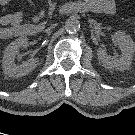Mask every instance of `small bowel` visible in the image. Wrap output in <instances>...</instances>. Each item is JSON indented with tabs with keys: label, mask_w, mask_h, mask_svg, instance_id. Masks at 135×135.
Wrapping results in <instances>:
<instances>
[{
	"label": "small bowel",
	"mask_w": 135,
	"mask_h": 135,
	"mask_svg": "<svg viewBox=\"0 0 135 135\" xmlns=\"http://www.w3.org/2000/svg\"><path fill=\"white\" fill-rule=\"evenodd\" d=\"M9 2L11 0H0L1 5ZM85 5L89 11L97 14L113 15L116 10L114 0H85ZM22 18L21 12L0 17V39L21 35L23 33Z\"/></svg>",
	"instance_id": "obj_1"
}]
</instances>
